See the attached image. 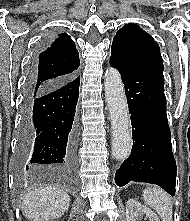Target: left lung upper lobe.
<instances>
[{
    "mask_svg": "<svg viewBox=\"0 0 190 221\" xmlns=\"http://www.w3.org/2000/svg\"><path fill=\"white\" fill-rule=\"evenodd\" d=\"M110 59L124 68L163 77L164 67L158 44L136 24H126L116 33Z\"/></svg>",
    "mask_w": 190,
    "mask_h": 221,
    "instance_id": "1",
    "label": "left lung upper lobe"
}]
</instances>
